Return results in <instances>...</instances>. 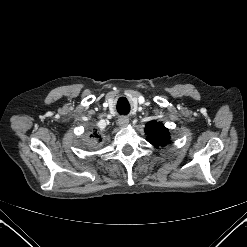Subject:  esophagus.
Wrapping results in <instances>:
<instances>
[{
	"label": "esophagus",
	"mask_w": 247,
	"mask_h": 247,
	"mask_svg": "<svg viewBox=\"0 0 247 247\" xmlns=\"http://www.w3.org/2000/svg\"><path fill=\"white\" fill-rule=\"evenodd\" d=\"M129 123V118L127 116H120L119 119H118V126L120 127H125L127 126Z\"/></svg>",
	"instance_id": "esophagus-1"
}]
</instances>
